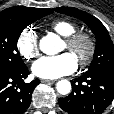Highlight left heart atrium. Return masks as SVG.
Listing matches in <instances>:
<instances>
[{"label":"left heart atrium","instance_id":"left-heart-atrium-1","mask_svg":"<svg viewBox=\"0 0 114 114\" xmlns=\"http://www.w3.org/2000/svg\"><path fill=\"white\" fill-rule=\"evenodd\" d=\"M77 69V60L71 53L57 56H44L32 65L33 74L43 79H55L73 73Z\"/></svg>","mask_w":114,"mask_h":114}]
</instances>
